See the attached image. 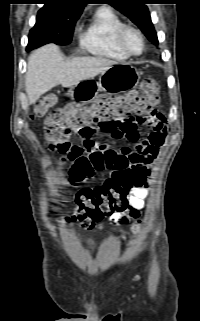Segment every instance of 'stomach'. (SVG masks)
<instances>
[{"label": "stomach", "instance_id": "0dacf381", "mask_svg": "<svg viewBox=\"0 0 200 321\" xmlns=\"http://www.w3.org/2000/svg\"><path fill=\"white\" fill-rule=\"evenodd\" d=\"M140 80L139 72L130 64L117 63L101 73L99 81L83 80L68 90V95L78 101L92 99L100 91L107 93L125 92L135 87Z\"/></svg>", "mask_w": 200, "mask_h": 321}]
</instances>
